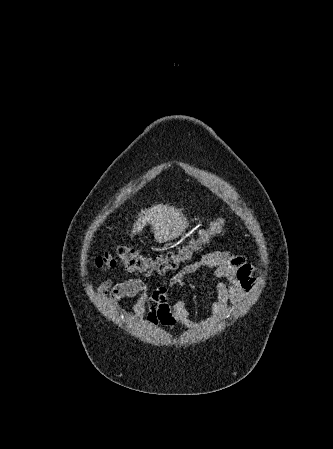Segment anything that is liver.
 Masks as SVG:
<instances>
[{
    "label": "liver",
    "instance_id": "6515ba94",
    "mask_svg": "<svg viewBox=\"0 0 333 449\" xmlns=\"http://www.w3.org/2000/svg\"><path fill=\"white\" fill-rule=\"evenodd\" d=\"M147 223L152 225L154 238L159 243L179 237L189 225L181 209L163 204H156L151 208L141 210L134 223L132 233L142 232Z\"/></svg>",
    "mask_w": 333,
    "mask_h": 449
}]
</instances>
